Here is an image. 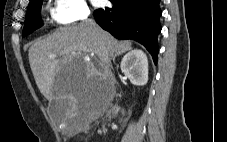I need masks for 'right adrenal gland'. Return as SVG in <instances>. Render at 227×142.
<instances>
[{
  "label": "right adrenal gland",
  "mask_w": 227,
  "mask_h": 142,
  "mask_svg": "<svg viewBox=\"0 0 227 142\" xmlns=\"http://www.w3.org/2000/svg\"><path fill=\"white\" fill-rule=\"evenodd\" d=\"M123 53H125V51H121V52H118L117 54H115V56L113 57V62H115V58L122 55Z\"/></svg>",
  "instance_id": "right-adrenal-gland-1"
}]
</instances>
